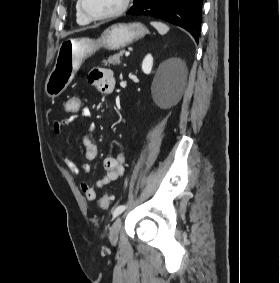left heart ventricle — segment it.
Instances as JSON below:
<instances>
[{
  "instance_id": "1",
  "label": "left heart ventricle",
  "mask_w": 280,
  "mask_h": 283,
  "mask_svg": "<svg viewBox=\"0 0 280 283\" xmlns=\"http://www.w3.org/2000/svg\"><path fill=\"white\" fill-rule=\"evenodd\" d=\"M123 0H84L87 11L93 15H103L118 9Z\"/></svg>"
}]
</instances>
